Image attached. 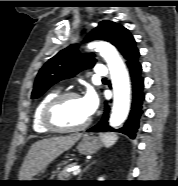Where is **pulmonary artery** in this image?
Listing matches in <instances>:
<instances>
[{
	"mask_svg": "<svg viewBox=\"0 0 178 186\" xmlns=\"http://www.w3.org/2000/svg\"><path fill=\"white\" fill-rule=\"evenodd\" d=\"M94 73L96 76H106L107 75V69L103 64H97L94 67Z\"/></svg>",
	"mask_w": 178,
	"mask_h": 186,
	"instance_id": "pulmonary-artery-1",
	"label": "pulmonary artery"
}]
</instances>
